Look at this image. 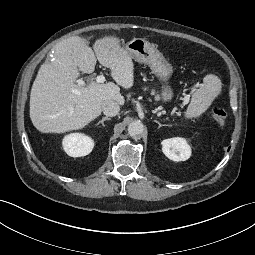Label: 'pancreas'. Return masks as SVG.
I'll list each match as a JSON object with an SVG mask.
<instances>
[{
	"label": "pancreas",
	"instance_id": "pancreas-1",
	"mask_svg": "<svg viewBox=\"0 0 255 255\" xmlns=\"http://www.w3.org/2000/svg\"><path fill=\"white\" fill-rule=\"evenodd\" d=\"M144 90H147V88H144ZM151 94H152V95H155V100H156V101H158V100L160 99V96H159L158 94L156 95L155 90H151Z\"/></svg>",
	"mask_w": 255,
	"mask_h": 255
}]
</instances>
